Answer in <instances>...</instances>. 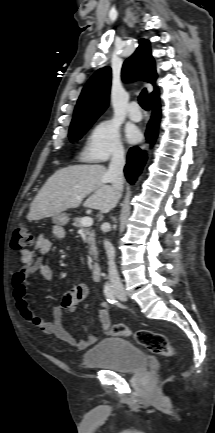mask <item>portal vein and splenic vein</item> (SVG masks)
<instances>
[{
    "label": "portal vein and splenic vein",
    "mask_w": 215,
    "mask_h": 433,
    "mask_svg": "<svg viewBox=\"0 0 215 433\" xmlns=\"http://www.w3.org/2000/svg\"><path fill=\"white\" fill-rule=\"evenodd\" d=\"M93 224V219L91 218V217H84L83 219H82V225L84 226V227H89V226H91Z\"/></svg>",
    "instance_id": "18ae733b"
}]
</instances>
